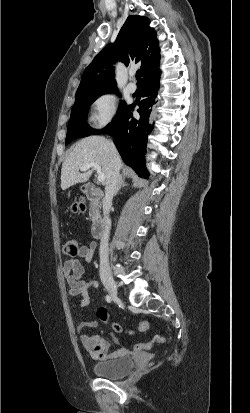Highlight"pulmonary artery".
Returning a JSON list of instances; mask_svg holds the SVG:
<instances>
[{
  "label": "pulmonary artery",
  "instance_id": "e3ab8cb5",
  "mask_svg": "<svg viewBox=\"0 0 250 413\" xmlns=\"http://www.w3.org/2000/svg\"><path fill=\"white\" fill-rule=\"evenodd\" d=\"M133 75H134V73L131 72V73H130V77H133ZM127 89H128L129 92L133 93V92L136 91L137 86H136V84H135L133 81H130V82L127 84Z\"/></svg>",
  "mask_w": 250,
  "mask_h": 413
}]
</instances>
